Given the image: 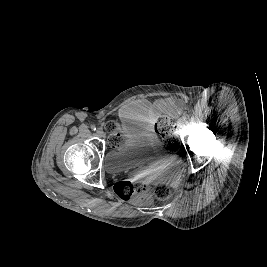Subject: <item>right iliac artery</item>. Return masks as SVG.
<instances>
[{"mask_svg": "<svg viewBox=\"0 0 267 267\" xmlns=\"http://www.w3.org/2000/svg\"><path fill=\"white\" fill-rule=\"evenodd\" d=\"M91 129H92L93 131H95V130H96L95 125H93V126L91 127Z\"/></svg>", "mask_w": 267, "mask_h": 267, "instance_id": "1", "label": "right iliac artery"}]
</instances>
